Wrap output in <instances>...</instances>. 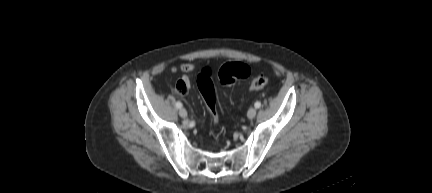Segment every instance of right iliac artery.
<instances>
[{
    "instance_id": "obj_1",
    "label": "right iliac artery",
    "mask_w": 432,
    "mask_h": 193,
    "mask_svg": "<svg viewBox=\"0 0 432 193\" xmlns=\"http://www.w3.org/2000/svg\"><path fill=\"white\" fill-rule=\"evenodd\" d=\"M176 107H177V108H181V107H182V103H181L180 101H177V102H176Z\"/></svg>"
}]
</instances>
